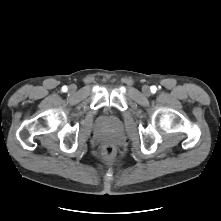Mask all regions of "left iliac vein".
Instances as JSON below:
<instances>
[{
  "label": "left iliac vein",
  "instance_id": "4c4485c4",
  "mask_svg": "<svg viewBox=\"0 0 221 221\" xmlns=\"http://www.w3.org/2000/svg\"><path fill=\"white\" fill-rule=\"evenodd\" d=\"M142 91H143L145 96H149L150 95V88H149V86H147V85L143 86Z\"/></svg>",
  "mask_w": 221,
  "mask_h": 221
}]
</instances>
